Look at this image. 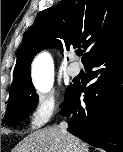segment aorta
Instances as JSON below:
<instances>
[{
  "instance_id": "obj_1",
  "label": "aorta",
  "mask_w": 123,
  "mask_h": 152,
  "mask_svg": "<svg viewBox=\"0 0 123 152\" xmlns=\"http://www.w3.org/2000/svg\"><path fill=\"white\" fill-rule=\"evenodd\" d=\"M53 59L47 52L40 53L33 62V82L40 93H47L53 85Z\"/></svg>"
}]
</instances>
